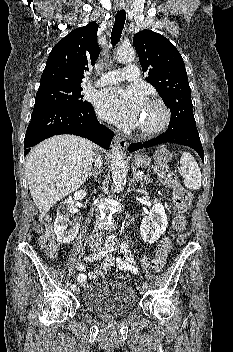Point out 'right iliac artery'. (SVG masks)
<instances>
[{"label":"right iliac artery","mask_w":233,"mask_h":352,"mask_svg":"<svg viewBox=\"0 0 233 352\" xmlns=\"http://www.w3.org/2000/svg\"><path fill=\"white\" fill-rule=\"evenodd\" d=\"M111 250V247L109 245H106L105 247H103L101 250H99L97 253L86 257L87 261L93 262V261H97L100 260L101 258H103L109 251ZM71 289L75 290L76 289V285L73 284L71 285Z\"/></svg>","instance_id":"1"}]
</instances>
